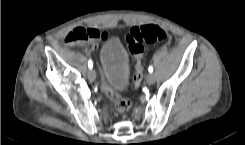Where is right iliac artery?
<instances>
[{
    "mask_svg": "<svg viewBox=\"0 0 245 145\" xmlns=\"http://www.w3.org/2000/svg\"><path fill=\"white\" fill-rule=\"evenodd\" d=\"M88 67H89V69H92V67H93V63L91 60L88 61Z\"/></svg>",
    "mask_w": 245,
    "mask_h": 145,
    "instance_id": "82829eb1",
    "label": "right iliac artery"
}]
</instances>
